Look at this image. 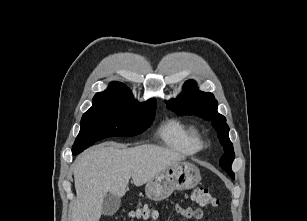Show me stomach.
Segmentation results:
<instances>
[{
  "instance_id": "0dacf381",
  "label": "stomach",
  "mask_w": 307,
  "mask_h": 221,
  "mask_svg": "<svg viewBox=\"0 0 307 221\" xmlns=\"http://www.w3.org/2000/svg\"><path fill=\"white\" fill-rule=\"evenodd\" d=\"M201 180L200 171L190 162L180 161L161 171L145 186L146 196L154 201L169 197L174 190H188Z\"/></svg>"
}]
</instances>
